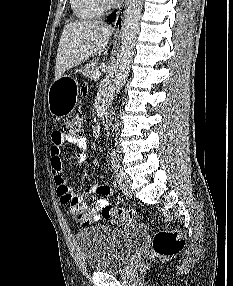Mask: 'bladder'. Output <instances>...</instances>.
Segmentation results:
<instances>
[{
    "label": "bladder",
    "mask_w": 233,
    "mask_h": 286,
    "mask_svg": "<svg viewBox=\"0 0 233 286\" xmlns=\"http://www.w3.org/2000/svg\"><path fill=\"white\" fill-rule=\"evenodd\" d=\"M145 236L141 224L118 228L94 225L81 229L77 241L89 270L112 272L128 265Z\"/></svg>",
    "instance_id": "31cf9c89"
}]
</instances>
